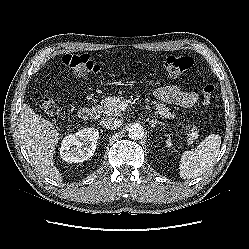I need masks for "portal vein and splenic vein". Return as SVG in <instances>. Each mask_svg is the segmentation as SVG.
<instances>
[{
	"label": "portal vein and splenic vein",
	"mask_w": 249,
	"mask_h": 249,
	"mask_svg": "<svg viewBox=\"0 0 249 249\" xmlns=\"http://www.w3.org/2000/svg\"><path fill=\"white\" fill-rule=\"evenodd\" d=\"M135 100L133 99H129V100H124L121 104H120V109L124 110L126 109V106L128 105V103H134Z\"/></svg>",
	"instance_id": "obj_1"
}]
</instances>
